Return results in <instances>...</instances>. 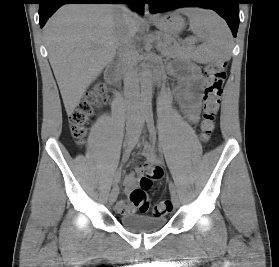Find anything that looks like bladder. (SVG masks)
<instances>
[{"label": "bladder", "mask_w": 279, "mask_h": 267, "mask_svg": "<svg viewBox=\"0 0 279 267\" xmlns=\"http://www.w3.org/2000/svg\"><path fill=\"white\" fill-rule=\"evenodd\" d=\"M120 222L124 228L130 231L153 232L158 231L165 226L166 218L131 213L121 215Z\"/></svg>", "instance_id": "bladder-1"}]
</instances>
